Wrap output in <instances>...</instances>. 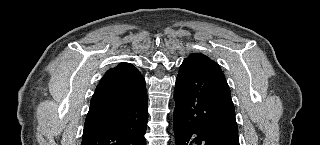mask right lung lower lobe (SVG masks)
<instances>
[{"mask_svg":"<svg viewBox=\"0 0 320 145\" xmlns=\"http://www.w3.org/2000/svg\"><path fill=\"white\" fill-rule=\"evenodd\" d=\"M122 93L126 95L115 107L86 117L81 145H146L148 104L144 78Z\"/></svg>","mask_w":320,"mask_h":145,"instance_id":"right-lung-lower-lobe-1","label":"right lung lower lobe"}]
</instances>
